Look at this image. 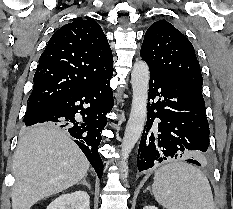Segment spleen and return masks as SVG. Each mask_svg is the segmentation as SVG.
Returning a JSON list of instances; mask_svg holds the SVG:
<instances>
[{
  "label": "spleen",
  "instance_id": "spleen-1",
  "mask_svg": "<svg viewBox=\"0 0 233 209\" xmlns=\"http://www.w3.org/2000/svg\"><path fill=\"white\" fill-rule=\"evenodd\" d=\"M152 192L156 201L167 209H214L207 177L185 162L161 166L155 172Z\"/></svg>",
  "mask_w": 233,
  "mask_h": 209
}]
</instances>
